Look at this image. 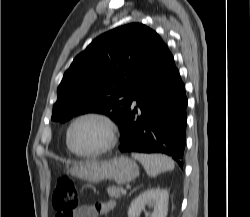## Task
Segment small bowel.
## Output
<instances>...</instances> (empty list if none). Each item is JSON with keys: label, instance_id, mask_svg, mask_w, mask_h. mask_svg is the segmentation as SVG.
Instances as JSON below:
<instances>
[{"label": "small bowel", "instance_id": "obj_1", "mask_svg": "<svg viewBox=\"0 0 250 217\" xmlns=\"http://www.w3.org/2000/svg\"><path fill=\"white\" fill-rule=\"evenodd\" d=\"M115 207L113 200L99 202L95 205H81L76 208L72 217H98L100 215H108Z\"/></svg>", "mask_w": 250, "mask_h": 217}]
</instances>
